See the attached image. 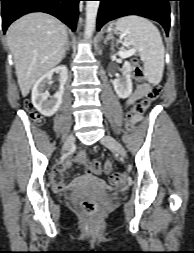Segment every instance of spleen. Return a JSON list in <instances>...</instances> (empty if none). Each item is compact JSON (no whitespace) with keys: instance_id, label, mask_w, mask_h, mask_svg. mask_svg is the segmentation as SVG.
<instances>
[{"instance_id":"3e777b00","label":"spleen","mask_w":194,"mask_h":253,"mask_svg":"<svg viewBox=\"0 0 194 253\" xmlns=\"http://www.w3.org/2000/svg\"><path fill=\"white\" fill-rule=\"evenodd\" d=\"M117 29L138 51L144 62V75L153 84L160 83L164 70V45L159 30L149 20L130 15L117 20Z\"/></svg>"}]
</instances>
